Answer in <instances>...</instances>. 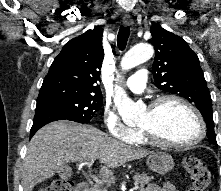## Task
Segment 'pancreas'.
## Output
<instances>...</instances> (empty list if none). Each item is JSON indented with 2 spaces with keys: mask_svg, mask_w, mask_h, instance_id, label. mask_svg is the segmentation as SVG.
I'll list each match as a JSON object with an SVG mask.
<instances>
[{
  "mask_svg": "<svg viewBox=\"0 0 221 191\" xmlns=\"http://www.w3.org/2000/svg\"><path fill=\"white\" fill-rule=\"evenodd\" d=\"M134 184L139 185L140 188H143L146 184H148L151 180H153V176H148L147 174H135L133 176ZM91 191H107L105 188H101L99 185H94L91 188Z\"/></svg>",
  "mask_w": 221,
  "mask_h": 191,
  "instance_id": "cf45deb5",
  "label": "pancreas"
}]
</instances>
